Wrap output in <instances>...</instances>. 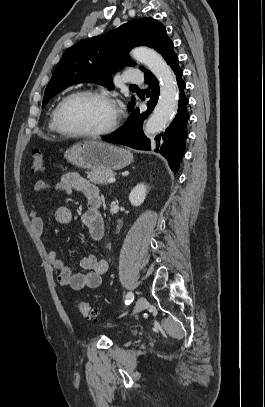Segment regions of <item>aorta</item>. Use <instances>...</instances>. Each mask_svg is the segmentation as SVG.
I'll return each instance as SVG.
<instances>
[{
    "label": "aorta",
    "instance_id": "obj_1",
    "mask_svg": "<svg viewBox=\"0 0 265 407\" xmlns=\"http://www.w3.org/2000/svg\"><path fill=\"white\" fill-rule=\"evenodd\" d=\"M131 56L144 63L160 82L158 103L145 124V133L154 135L165 128L177 111L179 91L176 77L162 56L154 50L135 48Z\"/></svg>",
    "mask_w": 265,
    "mask_h": 407
}]
</instances>
